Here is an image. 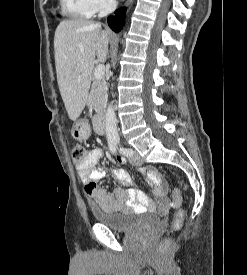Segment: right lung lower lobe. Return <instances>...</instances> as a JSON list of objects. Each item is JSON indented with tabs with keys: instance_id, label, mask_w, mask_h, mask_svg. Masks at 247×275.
Masks as SVG:
<instances>
[{
	"instance_id": "1",
	"label": "right lung lower lobe",
	"mask_w": 247,
	"mask_h": 275,
	"mask_svg": "<svg viewBox=\"0 0 247 275\" xmlns=\"http://www.w3.org/2000/svg\"><path fill=\"white\" fill-rule=\"evenodd\" d=\"M124 15H125V8H120L115 11L114 16H109L107 18L108 25L113 31L119 32L122 29L124 25Z\"/></svg>"
}]
</instances>
